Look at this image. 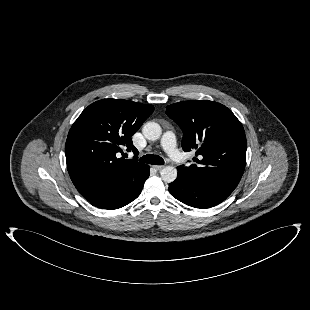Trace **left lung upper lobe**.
Wrapping results in <instances>:
<instances>
[{"mask_svg": "<svg viewBox=\"0 0 310 310\" xmlns=\"http://www.w3.org/2000/svg\"><path fill=\"white\" fill-rule=\"evenodd\" d=\"M166 114L183 131V150H196V164L178 166V172L233 191L244 172L247 142L232 111L220 103L200 100L168 105Z\"/></svg>", "mask_w": 310, "mask_h": 310, "instance_id": "1", "label": "left lung upper lobe"}]
</instances>
